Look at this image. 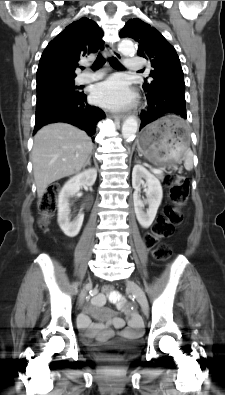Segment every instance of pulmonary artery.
<instances>
[{
    "label": "pulmonary artery",
    "mask_w": 225,
    "mask_h": 395,
    "mask_svg": "<svg viewBox=\"0 0 225 395\" xmlns=\"http://www.w3.org/2000/svg\"><path fill=\"white\" fill-rule=\"evenodd\" d=\"M141 60L138 57H130L125 60V67L128 70L137 71L141 68ZM102 77V73L95 72V73H84L81 74L77 81L79 83H90L96 81Z\"/></svg>",
    "instance_id": "obj_1"
}]
</instances>
